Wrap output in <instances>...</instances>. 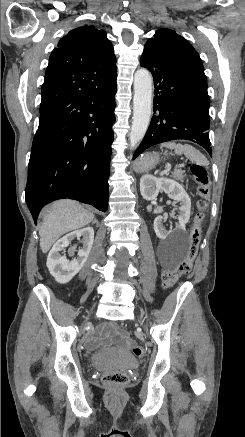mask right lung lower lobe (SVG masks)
<instances>
[{
    "instance_id": "right-lung-lower-lobe-1",
    "label": "right lung lower lobe",
    "mask_w": 245,
    "mask_h": 437,
    "mask_svg": "<svg viewBox=\"0 0 245 437\" xmlns=\"http://www.w3.org/2000/svg\"><path fill=\"white\" fill-rule=\"evenodd\" d=\"M116 91L115 80L40 112L25 196L35 224L44 205L62 198L107 211Z\"/></svg>"
}]
</instances>
